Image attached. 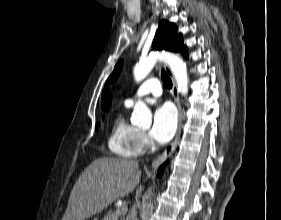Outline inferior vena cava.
<instances>
[{
	"label": "inferior vena cava",
	"mask_w": 281,
	"mask_h": 220,
	"mask_svg": "<svg viewBox=\"0 0 281 220\" xmlns=\"http://www.w3.org/2000/svg\"><path fill=\"white\" fill-rule=\"evenodd\" d=\"M141 191H142V188H139L137 193H136V202H137V200H138V198L140 196ZM136 214H137V204L135 203L132 206V208H131V210H130L126 220H135Z\"/></svg>",
	"instance_id": "obj_1"
}]
</instances>
